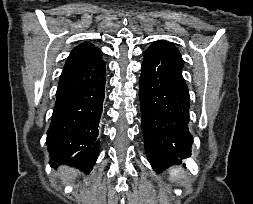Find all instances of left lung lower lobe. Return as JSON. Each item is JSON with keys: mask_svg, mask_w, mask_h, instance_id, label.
I'll return each instance as SVG.
<instances>
[{"mask_svg": "<svg viewBox=\"0 0 253 204\" xmlns=\"http://www.w3.org/2000/svg\"><path fill=\"white\" fill-rule=\"evenodd\" d=\"M143 55L139 79L142 132L148 160L160 172L191 156L190 96L180 53L152 44Z\"/></svg>", "mask_w": 253, "mask_h": 204, "instance_id": "obj_1", "label": "left lung lower lobe"}]
</instances>
